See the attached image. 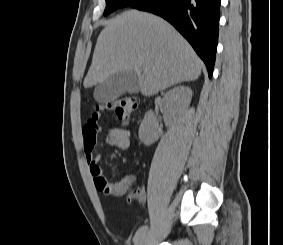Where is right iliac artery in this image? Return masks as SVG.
<instances>
[{
  "label": "right iliac artery",
  "instance_id": "obj_1",
  "mask_svg": "<svg viewBox=\"0 0 283 245\" xmlns=\"http://www.w3.org/2000/svg\"><path fill=\"white\" fill-rule=\"evenodd\" d=\"M146 230H147V226H141L137 230V232H136V234H135V236L133 238V242L136 243L138 241V239L145 233Z\"/></svg>",
  "mask_w": 283,
  "mask_h": 245
}]
</instances>
